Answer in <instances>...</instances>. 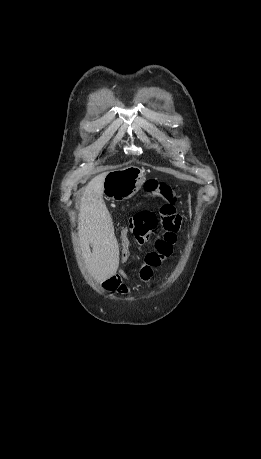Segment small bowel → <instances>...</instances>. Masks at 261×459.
<instances>
[{"label":"small bowel","instance_id":"obj_1","mask_svg":"<svg viewBox=\"0 0 261 459\" xmlns=\"http://www.w3.org/2000/svg\"><path fill=\"white\" fill-rule=\"evenodd\" d=\"M131 233L134 235V238L139 245H144L149 241H153V250L149 251L145 255L144 261L138 269V276L140 280L143 283L149 284L152 280L154 269L160 266L163 261L171 256L173 246L176 243V238H167L166 234L158 236L153 231L142 235L136 234L132 230ZM124 278L123 272L114 274L103 282V287L108 292L127 294L128 286L124 282Z\"/></svg>","mask_w":261,"mask_h":459}]
</instances>
